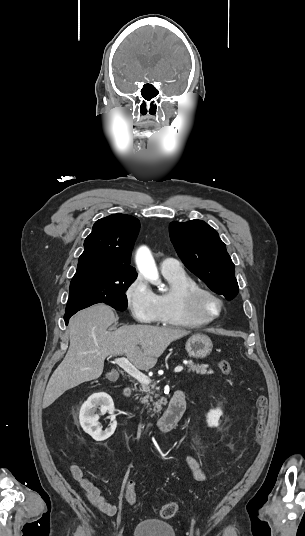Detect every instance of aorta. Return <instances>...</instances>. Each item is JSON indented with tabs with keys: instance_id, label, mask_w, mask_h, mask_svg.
Segmentation results:
<instances>
[{
	"instance_id": "1",
	"label": "aorta",
	"mask_w": 305,
	"mask_h": 536,
	"mask_svg": "<svg viewBox=\"0 0 305 536\" xmlns=\"http://www.w3.org/2000/svg\"><path fill=\"white\" fill-rule=\"evenodd\" d=\"M136 265L139 272L153 284H159V273L150 250L142 246L136 252Z\"/></svg>"
}]
</instances>
